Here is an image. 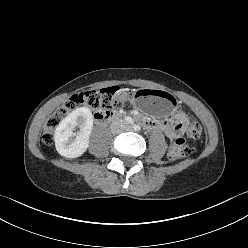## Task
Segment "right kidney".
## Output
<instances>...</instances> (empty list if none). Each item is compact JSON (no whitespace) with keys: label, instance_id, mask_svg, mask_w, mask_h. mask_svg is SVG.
<instances>
[{"label":"right kidney","instance_id":"1","mask_svg":"<svg viewBox=\"0 0 248 248\" xmlns=\"http://www.w3.org/2000/svg\"><path fill=\"white\" fill-rule=\"evenodd\" d=\"M80 126L79 132L75 128ZM93 117L90 109L80 107L67 115L56 127L54 141L57 152L66 158H77L83 155L88 146Z\"/></svg>","mask_w":248,"mask_h":248}]
</instances>
